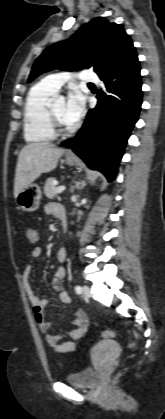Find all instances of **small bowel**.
I'll return each mask as SVG.
<instances>
[{"label": "small bowel", "mask_w": 165, "mask_h": 419, "mask_svg": "<svg viewBox=\"0 0 165 419\" xmlns=\"http://www.w3.org/2000/svg\"><path fill=\"white\" fill-rule=\"evenodd\" d=\"M57 206L48 205L47 212L56 215ZM34 233V237L31 236ZM27 238L30 242L35 243L39 240V233L35 228L27 229ZM42 255V249L36 247L32 250L31 256L34 260H37ZM66 259V250L61 248L57 252V260L62 263ZM32 272V266H26L23 279L26 294L30 304L32 305L35 321L38 325L39 330L45 334L47 344L58 353H72L75 352L85 334L88 330V318L86 313L79 309L73 314L72 329L65 334L48 333L50 329V323L45 319L44 309L49 304V301L44 298H40L32 289L28 282L29 276ZM66 268L59 266L55 272L52 280V288L57 294L58 302L62 305H67L71 302L69 293L62 287V281L66 277Z\"/></svg>", "instance_id": "1"}]
</instances>
